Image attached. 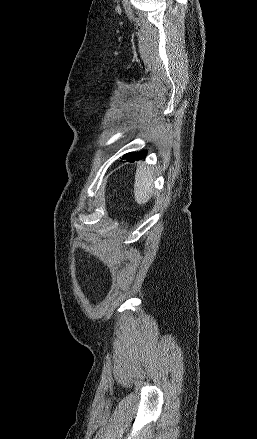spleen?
Instances as JSON below:
<instances>
[{
    "label": "spleen",
    "mask_w": 257,
    "mask_h": 439,
    "mask_svg": "<svg viewBox=\"0 0 257 439\" xmlns=\"http://www.w3.org/2000/svg\"><path fill=\"white\" fill-rule=\"evenodd\" d=\"M153 171L140 165L135 174L134 195L138 204H145L153 194Z\"/></svg>",
    "instance_id": "spleen-1"
}]
</instances>
